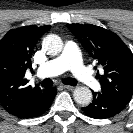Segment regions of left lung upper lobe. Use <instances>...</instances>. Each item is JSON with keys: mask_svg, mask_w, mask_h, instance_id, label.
<instances>
[{"mask_svg": "<svg viewBox=\"0 0 133 133\" xmlns=\"http://www.w3.org/2000/svg\"><path fill=\"white\" fill-rule=\"evenodd\" d=\"M90 56L103 67L97 72L99 93L129 103L133 95V55L115 33L86 24H67Z\"/></svg>", "mask_w": 133, "mask_h": 133, "instance_id": "obj_1", "label": "left lung upper lobe"}]
</instances>
